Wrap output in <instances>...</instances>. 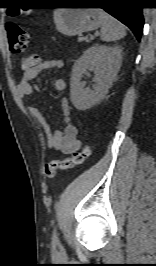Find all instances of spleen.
Instances as JSON below:
<instances>
[{
	"mask_svg": "<svg viewBox=\"0 0 156 266\" xmlns=\"http://www.w3.org/2000/svg\"><path fill=\"white\" fill-rule=\"evenodd\" d=\"M99 16L102 21L101 40L113 42L122 39L126 35L124 26L114 17L99 9Z\"/></svg>",
	"mask_w": 156,
	"mask_h": 266,
	"instance_id": "spleen-1",
	"label": "spleen"
}]
</instances>
